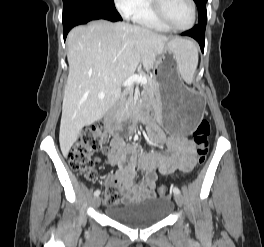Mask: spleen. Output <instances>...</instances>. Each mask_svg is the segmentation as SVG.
<instances>
[{"instance_id":"obj_1","label":"spleen","mask_w":264,"mask_h":247,"mask_svg":"<svg viewBox=\"0 0 264 247\" xmlns=\"http://www.w3.org/2000/svg\"><path fill=\"white\" fill-rule=\"evenodd\" d=\"M179 73L183 80L191 84L198 65L197 46L184 39H178L173 47Z\"/></svg>"}]
</instances>
